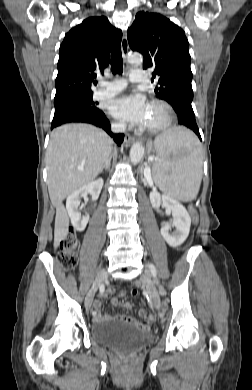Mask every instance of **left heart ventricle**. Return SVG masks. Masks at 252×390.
<instances>
[{"instance_id":"left-heart-ventricle-1","label":"left heart ventricle","mask_w":252,"mask_h":390,"mask_svg":"<svg viewBox=\"0 0 252 390\" xmlns=\"http://www.w3.org/2000/svg\"><path fill=\"white\" fill-rule=\"evenodd\" d=\"M164 119H165V113L160 107L149 105L148 115L144 123V126L150 127V126L158 125Z\"/></svg>"}]
</instances>
